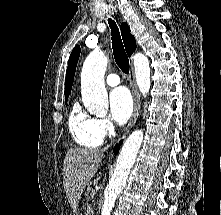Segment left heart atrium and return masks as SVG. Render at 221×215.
Here are the masks:
<instances>
[{
  "label": "left heart atrium",
  "mask_w": 221,
  "mask_h": 215,
  "mask_svg": "<svg viewBox=\"0 0 221 215\" xmlns=\"http://www.w3.org/2000/svg\"><path fill=\"white\" fill-rule=\"evenodd\" d=\"M110 112L112 118L118 124L128 121L133 112V100L130 92L125 87L114 89L109 97Z\"/></svg>",
  "instance_id": "obj_1"
}]
</instances>
